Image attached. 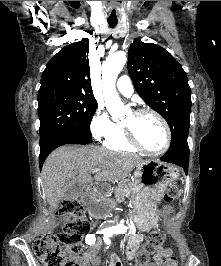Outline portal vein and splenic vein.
I'll return each mask as SVG.
<instances>
[{
	"mask_svg": "<svg viewBox=\"0 0 221 266\" xmlns=\"http://www.w3.org/2000/svg\"><path fill=\"white\" fill-rule=\"evenodd\" d=\"M101 171V168H94L92 169V173H97V172H100Z\"/></svg>",
	"mask_w": 221,
	"mask_h": 266,
	"instance_id": "1",
	"label": "portal vein and splenic vein"
}]
</instances>
